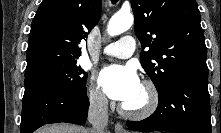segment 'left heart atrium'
<instances>
[{"mask_svg":"<svg viewBox=\"0 0 221 133\" xmlns=\"http://www.w3.org/2000/svg\"><path fill=\"white\" fill-rule=\"evenodd\" d=\"M99 84L111 99L124 104L131 101L142 87L136 70L128 65L104 68L100 73Z\"/></svg>","mask_w":221,"mask_h":133,"instance_id":"left-heart-atrium-1","label":"left heart atrium"}]
</instances>
